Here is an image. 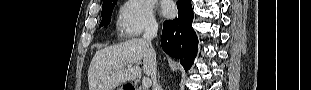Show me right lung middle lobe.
Instances as JSON below:
<instances>
[{
    "label": "right lung middle lobe",
    "instance_id": "right-lung-middle-lobe-1",
    "mask_svg": "<svg viewBox=\"0 0 311 90\" xmlns=\"http://www.w3.org/2000/svg\"><path fill=\"white\" fill-rule=\"evenodd\" d=\"M115 1L116 0H111L102 5V21L99 27L107 26L110 23Z\"/></svg>",
    "mask_w": 311,
    "mask_h": 90
}]
</instances>
